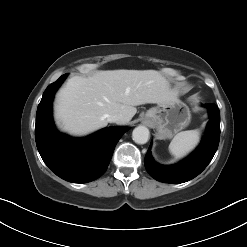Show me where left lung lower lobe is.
<instances>
[{"instance_id":"1","label":"left lung lower lobe","mask_w":247,"mask_h":247,"mask_svg":"<svg viewBox=\"0 0 247 247\" xmlns=\"http://www.w3.org/2000/svg\"><path fill=\"white\" fill-rule=\"evenodd\" d=\"M210 120L207 132L199 147L182 162L164 166L157 164L151 156V146L145 156V168L157 181L164 183H184L199 175L212 160L220 138V111L215 104H205Z\"/></svg>"}]
</instances>
